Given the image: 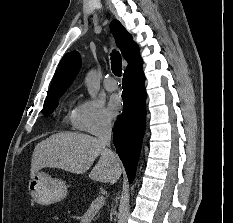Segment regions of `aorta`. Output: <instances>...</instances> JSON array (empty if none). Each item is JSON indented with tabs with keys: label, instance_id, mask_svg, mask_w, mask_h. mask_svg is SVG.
Masks as SVG:
<instances>
[{
	"label": "aorta",
	"instance_id": "aorta-1",
	"mask_svg": "<svg viewBox=\"0 0 233 223\" xmlns=\"http://www.w3.org/2000/svg\"><path fill=\"white\" fill-rule=\"evenodd\" d=\"M85 84L90 96H92V98L93 96H97L100 90V78L97 76L95 70L88 72L85 78Z\"/></svg>",
	"mask_w": 233,
	"mask_h": 223
}]
</instances>
